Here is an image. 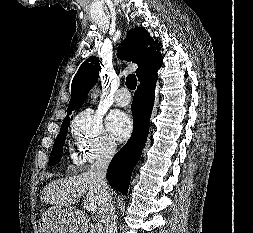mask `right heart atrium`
Listing matches in <instances>:
<instances>
[{
  "instance_id": "d8ad5b80",
  "label": "right heart atrium",
  "mask_w": 253,
  "mask_h": 233,
  "mask_svg": "<svg viewBox=\"0 0 253 233\" xmlns=\"http://www.w3.org/2000/svg\"><path fill=\"white\" fill-rule=\"evenodd\" d=\"M77 147L86 162L110 157L116 149L102 118L91 110L79 113L71 126Z\"/></svg>"
}]
</instances>
